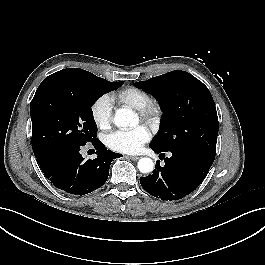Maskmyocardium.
I'll list each match as a JSON object with an SVG mask.
<instances>
[{
    "label": "myocardium",
    "mask_w": 265,
    "mask_h": 265,
    "mask_svg": "<svg viewBox=\"0 0 265 265\" xmlns=\"http://www.w3.org/2000/svg\"><path fill=\"white\" fill-rule=\"evenodd\" d=\"M136 111L142 121L153 127L159 123L162 113L159 103L152 99Z\"/></svg>",
    "instance_id": "f54148a6"
}]
</instances>
